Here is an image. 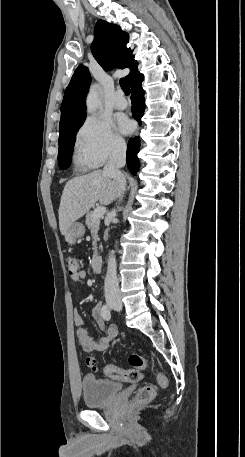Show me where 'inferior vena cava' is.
<instances>
[{
    "instance_id": "1",
    "label": "inferior vena cava",
    "mask_w": 245,
    "mask_h": 457,
    "mask_svg": "<svg viewBox=\"0 0 245 457\" xmlns=\"http://www.w3.org/2000/svg\"><path fill=\"white\" fill-rule=\"evenodd\" d=\"M125 162L126 142L125 140H118V142H115L112 148L110 158L107 164H105L103 172H105V174H108V176H111V178H114V180H117L121 188L120 192H123V190H125L126 184L125 176L124 174H122L120 170L121 166H124ZM118 196H121V194H118ZM110 216H116L115 210H112V212H110ZM104 291L105 297H113V295H118L119 293V283L117 279L116 261L114 255H111L108 261L106 279L104 283Z\"/></svg>"
}]
</instances>
